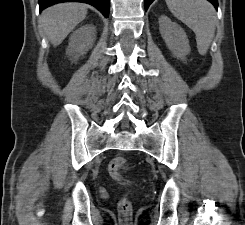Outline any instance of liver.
Wrapping results in <instances>:
<instances>
[{"mask_svg":"<svg viewBox=\"0 0 245 225\" xmlns=\"http://www.w3.org/2000/svg\"><path fill=\"white\" fill-rule=\"evenodd\" d=\"M86 15L85 4L61 3L45 9L39 21L46 37L57 46L85 19Z\"/></svg>","mask_w":245,"mask_h":225,"instance_id":"liver-1","label":"liver"}]
</instances>
